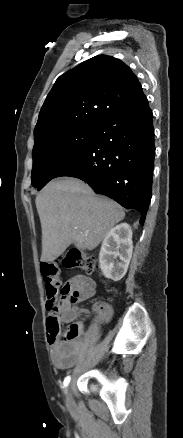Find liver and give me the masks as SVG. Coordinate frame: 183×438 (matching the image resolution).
Wrapping results in <instances>:
<instances>
[{
	"label": "liver",
	"mask_w": 183,
	"mask_h": 438,
	"mask_svg": "<svg viewBox=\"0 0 183 438\" xmlns=\"http://www.w3.org/2000/svg\"><path fill=\"white\" fill-rule=\"evenodd\" d=\"M42 228V262H52L70 244L93 250L125 212L115 201L97 196L80 179L62 177L49 182L37 195Z\"/></svg>",
	"instance_id": "liver-1"
}]
</instances>
